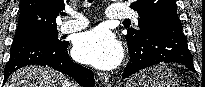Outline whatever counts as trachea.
<instances>
[{"label":"trachea","mask_w":205,"mask_h":87,"mask_svg":"<svg viewBox=\"0 0 205 87\" xmlns=\"http://www.w3.org/2000/svg\"><path fill=\"white\" fill-rule=\"evenodd\" d=\"M93 2V0H89V3H92ZM64 15H66V14H64ZM125 22H128L127 20H125Z\"/></svg>","instance_id":"obj_1"}]
</instances>
